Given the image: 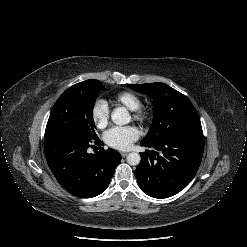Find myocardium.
<instances>
[{"instance_id": "obj_1", "label": "myocardium", "mask_w": 247, "mask_h": 247, "mask_svg": "<svg viewBox=\"0 0 247 247\" xmlns=\"http://www.w3.org/2000/svg\"><path fill=\"white\" fill-rule=\"evenodd\" d=\"M131 111H132V118L138 122H145L150 117L149 111L141 106Z\"/></svg>"}]
</instances>
